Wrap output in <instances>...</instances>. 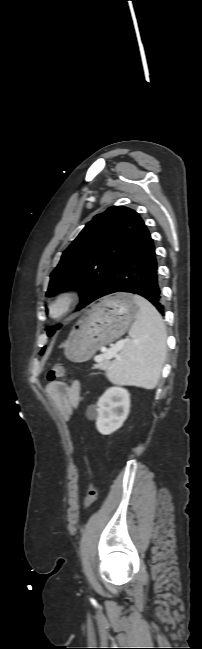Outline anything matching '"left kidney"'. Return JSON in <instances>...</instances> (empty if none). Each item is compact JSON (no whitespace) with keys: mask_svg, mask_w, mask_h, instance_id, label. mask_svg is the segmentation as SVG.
Segmentation results:
<instances>
[{"mask_svg":"<svg viewBox=\"0 0 202 649\" xmlns=\"http://www.w3.org/2000/svg\"><path fill=\"white\" fill-rule=\"evenodd\" d=\"M130 411V393L127 389L114 386L108 388L97 402V430L108 435L119 429Z\"/></svg>","mask_w":202,"mask_h":649,"instance_id":"obj_1","label":"left kidney"}]
</instances>
